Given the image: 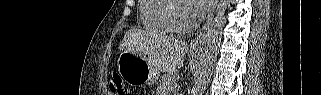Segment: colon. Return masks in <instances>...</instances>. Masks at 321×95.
Returning <instances> with one entry per match:
<instances>
[{"label":"colon","mask_w":321,"mask_h":95,"mask_svg":"<svg viewBox=\"0 0 321 95\" xmlns=\"http://www.w3.org/2000/svg\"><path fill=\"white\" fill-rule=\"evenodd\" d=\"M110 89L113 93L118 95H128L129 91L122 79L114 74L110 80Z\"/></svg>","instance_id":"1"}]
</instances>
